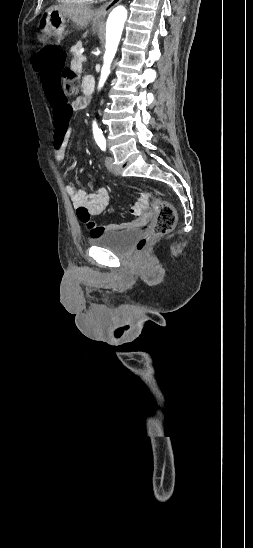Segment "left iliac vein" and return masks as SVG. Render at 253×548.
Returning <instances> with one entry per match:
<instances>
[{
  "label": "left iliac vein",
  "mask_w": 253,
  "mask_h": 548,
  "mask_svg": "<svg viewBox=\"0 0 253 548\" xmlns=\"http://www.w3.org/2000/svg\"><path fill=\"white\" fill-rule=\"evenodd\" d=\"M106 167L113 173H117V169L114 165V160L111 156L106 157L105 159Z\"/></svg>",
  "instance_id": "left-iliac-vein-1"
}]
</instances>
